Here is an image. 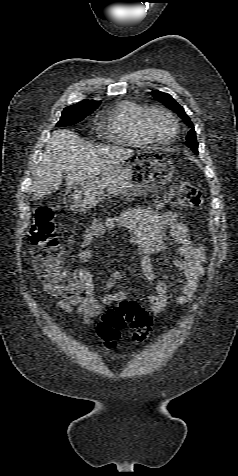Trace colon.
Wrapping results in <instances>:
<instances>
[{
  "mask_svg": "<svg viewBox=\"0 0 238 476\" xmlns=\"http://www.w3.org/2000/svg\"><path fill=\"white\" fill-rule=\"evenodd\" d=\"M168 198L174 206L182 209L197 208L204 201L201 190L184 178L175 179ZM29 240L37 272L48 289L59 290L76 285V276L63 268L58 228L49 208L36 209ZM151 323L152 318L136 302L124 301L103 315L98 333L108 345L113 346L120 330L129 326L132 339L141 342L147 338Z\"/></svg>",
  "mask_w": 238,
  "mask_h": 476,
  "instance_id": "1",
  "label": "colon"
}]
</instances>
